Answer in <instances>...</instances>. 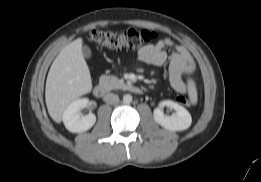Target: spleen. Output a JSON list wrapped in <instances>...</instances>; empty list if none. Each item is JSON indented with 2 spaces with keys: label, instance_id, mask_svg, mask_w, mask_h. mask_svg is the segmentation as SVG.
Masks as SVG:
<instances>
[{
  "label": "spleen",
  "instance_id": "1",
  "mask_svg": "<svg viewBox=\"0 0 261 182\" xmlns=\"http://www.w3.org/2000/svg\"><path fill=\"white\" fill-rule=\"evenodd\" d=\"M188 89H189V96L191 102L195 104L197 102V91H196L195 84L192 81L188 82Z\"/></svg>",
  "mask_w": 261,
  "mask_h": 182
}]
</instances>
